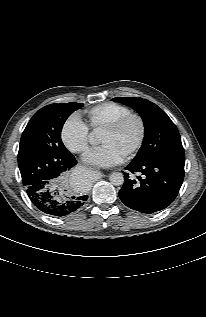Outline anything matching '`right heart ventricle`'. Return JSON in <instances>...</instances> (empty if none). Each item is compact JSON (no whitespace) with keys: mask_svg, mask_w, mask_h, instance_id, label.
I'll use <instances>...</instances> for the list:
<instances>
[{"mask_svg":"<svg viewBox=\"0 0 206 317\" xmlns=\"http://www.w3.org/2000/svg\"><path fill=\"white\" fill-rule=\"evenodd\" d=\"M129 107L113 102L107 101L97 104L85 111L86 123L94 130H101L110 122L130 113Z\"/></svg>","mask_w":206,"mask_h":317,"instance_id":"obj_1","label":"right heart ventricle"}]
</instances>
